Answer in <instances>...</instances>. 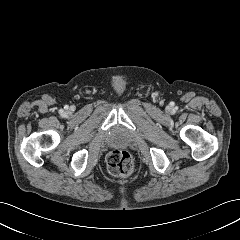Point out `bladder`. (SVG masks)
Segmentation results:
<instances>
[{"label":"bladder","mask_w":240,"mask_h":240,"mask_svg":"<svg viewBox=\"0 0 240 240\" xmlns=\"http://www.w3.org/2000/svg\"><path fill=\"white\" fill-rule=\"evenodd\" d=\"M112 141L115 144H124L127 141V137L124 132L116 130L112 133Z\"/></svg>","instance_id":"31cf9c89"}]
</instances>
